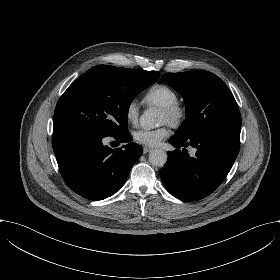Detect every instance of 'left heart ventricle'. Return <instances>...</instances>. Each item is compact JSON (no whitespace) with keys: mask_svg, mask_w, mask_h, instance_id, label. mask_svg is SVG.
I'll return each mask as SVG.
<instances>
[{"mask_svg":"<svg viewBox=\"0 0 280 280\" xmlns=\"http://www.w3.org/2000/svg\"><path fill=\"white\" fill-rule=\"evenodd\" d=\"M168 120H169L168 115L161 109V121H162V123L166 122Z\"/></svg>","mask_w":280,"mask_h":280,"instance_id":"obj_1","label":"left heart ventricle"}]
</instances>
